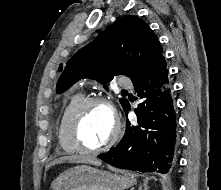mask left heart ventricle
<instances>
[{
	"label": "left heart ventricle",
	"instance_id": "obj_1",
	"mask_svg": "<svg viewBox=\"0 0 221 190\" xmlns=\"http://www.w3.org/2000/svg\"><path fill=\"white\" fill-rule=\"evenodd\" d=\"M114 129L111 111L105 105L97 104L85 113L81 125V137L88 147H97L107 142Z\"/></svg>",
	"mask_w": 221,
	"mask_h": 190
}]
</instances>
